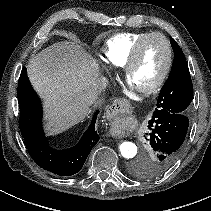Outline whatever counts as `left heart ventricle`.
Returning <instances> with one entry per match:
<instances>
[{
	"label": "left heart ventricle",
	"mask_w": 211,
	"mask_h": 211,
	"mask_svg": "<svg viewBox=\"0 0 211 211\" xmlns=\"http://www.w3.org/2000/svg\"><path fill=\"white\" fill-rule=\"evenodd\" d=\"M167 60V50L159 37H151L143 44L139 58L133 66L128 81L136 89L151 86L162 73Z\"/></svg>",
	"instance_id": "b2bd125f"
}]
</instances>
